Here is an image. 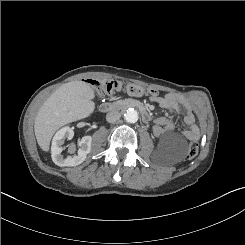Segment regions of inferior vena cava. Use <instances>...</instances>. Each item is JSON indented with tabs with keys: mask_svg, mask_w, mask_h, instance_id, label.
Segmentation results:
<instances>
[{
	"mask_svg": "<svg viewBox=\"0 0 245 245\" xmlns=\"http://www.w3.org/2000/svg\"><path fill=\"white\" fill-rule=\"evenodd\" d=\"M121 117V114L117 110H111L106 114V120L109 123H114L117 120H119Z\"/></svg>",
	"mask_w": 245,
	"mask_h": 245,
	"instance_id": "obj_1",
	"label": "inferior vena cava"
}]
</instances>
